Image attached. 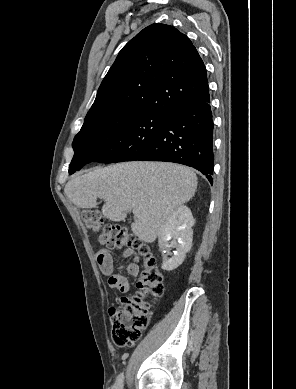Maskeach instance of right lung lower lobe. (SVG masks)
<instances>
[{
    "label": "right lung lower lobe",
    "mask_w": 296,
    "mask_h": 389,
    "mask_svg": "<svg viewBox=\"0 0 296 389\" xmlns=\"http://www.w3.org/2000/svg\"><path fill=\"white\" fill-rule=\"evenodd\" d=\"M213 128L210 98L187 106L168 117L164 128L136 160L184 164L202 172L212 184ZM82 166L78 165L72 173Z\"/></svg>",
    "instance_id": "obj_1"
}]
</instances>
